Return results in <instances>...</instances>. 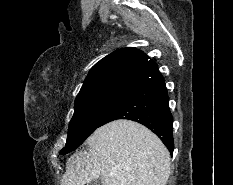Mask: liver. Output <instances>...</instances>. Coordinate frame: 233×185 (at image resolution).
<instances>
[{"label": "liver", "mask_w": 233, "mask_h": 185, "mask_svg": "<svg viewBox=\"0 0 233 185\" xmlns=\"http://www.w3.org/2000/svg\"><path fill=\"white\" fill-rule=\"evenodd\" d=\"M86 144L88 150L67 160L61 185H85L98 178L103 185H166L170 154L145 126L115 120L97 128Z\"/></svg>", "instance_id": "6515ba94"}]
</instances>
